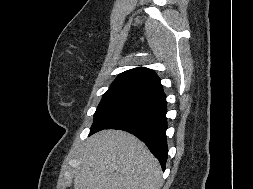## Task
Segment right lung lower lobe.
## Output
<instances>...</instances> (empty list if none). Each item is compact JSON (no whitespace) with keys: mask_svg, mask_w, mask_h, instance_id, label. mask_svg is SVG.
Here are the masks:
<instances>
[{"mask_svg":"<svg viewBox=\"0 0 253 189\" xmlns=\"http://www.w3.org/2000/svg\"><path fill=\"white\" fill-rule=\"evenodd\" d=\"M166 112V96L161 88L111 113L91 127L90 134L103 129L128 131L147 145L164 171L168 156Z\"/></svg>","mask_w":253,"mask_h":189,"instance_id":"98d812e1","label":"right lung lower lobe"}]
</instances>
